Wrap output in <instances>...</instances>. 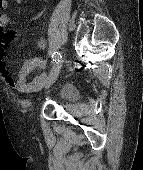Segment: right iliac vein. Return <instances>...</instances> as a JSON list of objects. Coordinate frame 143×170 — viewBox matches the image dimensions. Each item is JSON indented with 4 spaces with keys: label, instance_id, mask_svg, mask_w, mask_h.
<instances>
[{
    "label": "right iliac vein",
    "instance_id": "63e3f726",
    "mask_svg": "<svg viewBox=\"0 0 143 170\" xmlns=\"http://www.w3.org/2000/svg\"><path fill=\"white\" fill-rule=\"evenodd\" d=\"M61 66H62L61 63H59V64L57 65V67H55L54 72H53V73H50V74L46 77V79H45V81H44V86H45L46 89L49 88L52 84H54L55 81L57 80Z\"/></svg>",
    "mask_w": 143,
    "mask_h": 170
}]
</instances>
